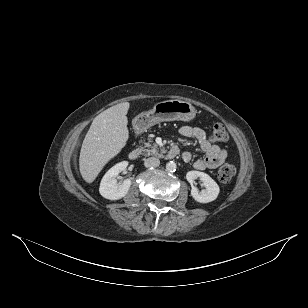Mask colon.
<instances>
[{
  "instance_id": "5ec220e1",
  "label": "colon",
  "mask_w": 308,
  "mask_h": 308,
  "mask_svg": "<svg viewBox=\"0 0 308 308\" xmlns=\"http://www.w3.org/2000/svg\"><path fill=\"white\" fill-rule=\"evenodd\" d=\"M210 139L211 141L216 142V143L227 141L228 133L225 127L221 124L214 125L210 133ZM235 172H236V169L232 164L224 163L219 167L217 176L221 182L227 183L234 177Z\"/></svg>"
}]
</instances>
